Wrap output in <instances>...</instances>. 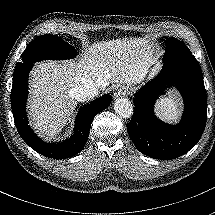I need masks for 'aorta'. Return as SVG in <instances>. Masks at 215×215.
I'll return each instance as SVG.
<instances>
[{"instance_id":"1","label":"aorta","mask_w":215,"mask_h":215,"mask_svg":"<svg viewBox=\"0 0 215 215\" xmlns=\"http://www.w3.org/2000/svg\"><path fill=\"white\" fill-rule=\"evenodd\" d=\"M115 113L123 118H130L133 115V105L128 98H118L114 103Z\"/></svg>"}]
</instances>
